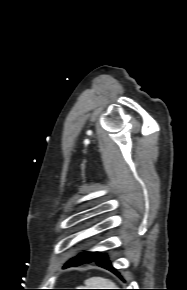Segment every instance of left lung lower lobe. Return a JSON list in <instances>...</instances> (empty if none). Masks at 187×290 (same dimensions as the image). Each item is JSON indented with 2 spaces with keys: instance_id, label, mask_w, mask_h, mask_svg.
I'll return each mask as SVG.
<instances>
[{
  "instance_id": "left-lung-lower-lobe-1",
  "label": "left lung lower lobe",
  "mask_w": 187,
  "mask_h": 290,
  "mask_svg": "<svg viewBox=\"0 0 187 290\" xmlns=\"http://www.w3.org/2000/svg\"><path fill=\"white\" fill-rule=\"evenodd\" d=\"M90 262H95L98 266L111 270L116 275L120 276V274L116 272L115 268L111 265L106 254H101L99 252V254H97L94 258L84 263H90ZM70 266H75V261L65 265V267H70Z\"/></svg>"
}]
</instances>
